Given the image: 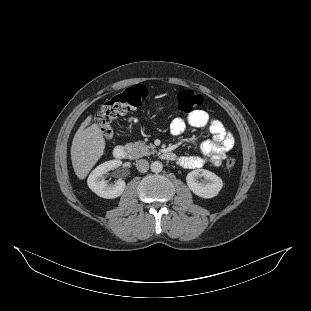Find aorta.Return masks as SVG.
I'll list each match as a JSON object with an SVG mask.
<instances>
[{
    "label": "aorta",
    "mask_w": 311,
    "mask_h": 311,
    "mask_svg": "<svg viewBox=\"0 0 311 311\" xmlns=\"http://www.w3.org/2000/svg\"><path fill=\"white\" fill-rule=\"evenodd\" d=\"M163 169V164L160 161H154L151 163V171L154 173H160Z\"/></svg>",
    "instance_id": "aorta-1"
}]
</instances>
